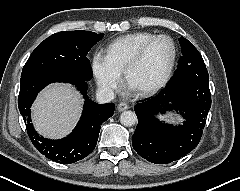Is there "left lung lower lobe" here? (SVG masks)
I'll list each match as a JSON object with an SVG mask.
<instances>
[{"instance_id": "obj_1", "label": "left lung lower lobe", "mask_w": 240, "mask_h": 191, "mask_svg": "<svg viewBox=\"0 0 240 191\" xmlns=\"http://www.w3.org/2000/svg\"><path fill=\"white\" fill-rule=\"evenodd\" d=\"M211 107L208 72L178 66L166 88L155 97L135 105L138 125L132 136L134 150L156 164L178 160L199 143ZM168 110L180 112L182 125L156 119Z\"/></svg>"}]
</instances>
